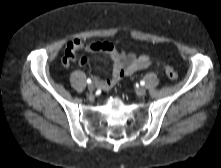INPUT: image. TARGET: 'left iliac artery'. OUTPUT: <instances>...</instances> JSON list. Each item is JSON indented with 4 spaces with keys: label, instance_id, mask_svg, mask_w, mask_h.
I'll return each instance as SVG.
<instances>
[{
    "label": "left iliac artery",
    "instance_id": "1",
    "mask_svg": "<svg viewBox=\"0 0 221 168\" xmlns=\"http://www.w3.org/2000/svg\"><path fill=\"white\" fill-rule=\"evenodd\" d=\"M140 84H141L142 86H144V85H145V82H144V81H141Z\"/></svg>",
    "mask_w": 221,
    "mask_h": 168
}]
</instances>
